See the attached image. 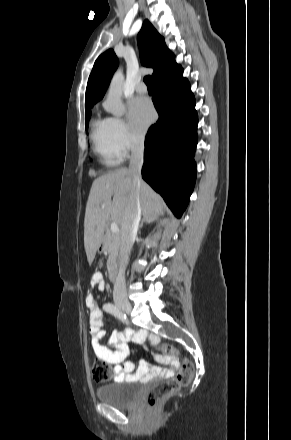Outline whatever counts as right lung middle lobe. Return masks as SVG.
Here are the masks:
<instances>
[{"instance_id":"dd1d6c3e","label":"right lung middle lobe","mask_w":291,"mask_h":440,"mask_svg":"<svg viewBox=\"0 0 291 440\" xmlns=\"http://www.w3.org/2000/svg\"><path fill=\"white\" fill-rule=\"evenodd\" d=\"M90 116H91V112L89 110H87L86 114H85L86 130H87V123H88V121L90 119Z\"/></svg>"}]
</instances>
